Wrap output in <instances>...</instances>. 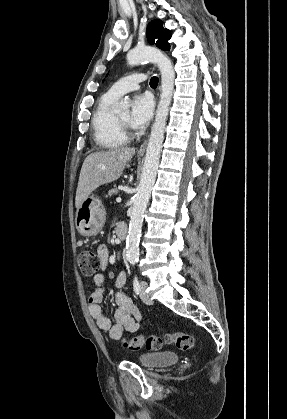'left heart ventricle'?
Here are the masks:
<instances>
[{
  "label": "left heart ventricle",
  "instance_id": "obj_1",
  "mask_svg": "<svg viewBox=\"0 0 287 419\" xmlns=\"http://www.w3.org/2000/svg\"><path fill=\"white\" fill-rule=\"evenodd\" d=\"M117 117L119 118V120L122 123L128 124V122H129V114H128V112L117 114Z\"/></svg>",
  "mask_w": 287,
  "mask_h": 419
}]
</instances>
